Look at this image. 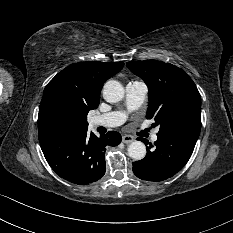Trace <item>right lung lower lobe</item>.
<instances>
[{
    "label": "right lung lower lobe",
    "mask_w": 233,
    "mask_h": 233,
    "mask_svg": "<svg viewBox=\"0 0 233 233\" xmlns=\"http://www.w3.org/2000/svg\"><path fill=\"white\" fill-rule=\"evenodd\" d=\"M43 154L63 179L78 185L98 181L105 174V147L116 146L121 135L111 131L97 137L86 128L39 136Z\"/></svg>",
    "instance_id": "right-lung-lower-lobe-1"
}]
</instances>
